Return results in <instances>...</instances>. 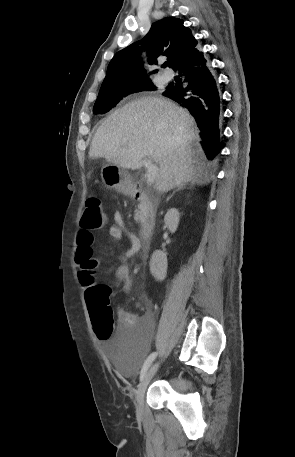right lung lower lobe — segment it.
Wrapping results in <instances>:
<instances>
[{
	"label": "right lung lower lobe",
	"mask_w": 295,
	"mask_h": 457,
	"mask_svg": "<svg viewBox=\"0 0 295 457\" xmlns=\"http://www.w3.org/2000/svg\"><path fill=\"white\" fill-rule=\"evenodd\" d=\"M179 72L180 83L168 86L164 96L186 107L201 130L202 145L212 160L220 152V97L216 82L206 67L202 52L194 48L172 68Z\"/></svg>",
	"instance_id": "1"
}]
</instances>
